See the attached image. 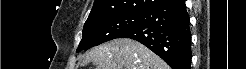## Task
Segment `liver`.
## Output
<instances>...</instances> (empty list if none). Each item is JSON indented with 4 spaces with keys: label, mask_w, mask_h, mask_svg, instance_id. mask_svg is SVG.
Listing matches in <instances>:
<instances>
[{
    "label": "liver",
    "mask_w": 246,
    "mask_h": 69,
    "mask_svg": "<svg viewBox=\"0 0 246 69\" xmlns=\"http://www.w3.org/2000/svg\"><path fill=\"white\" fill-rule=\"evenodd\" d=\"M92 62L96 69H168L155 53L137 41L115 39L91 49L84 63Z\"/></svg>",
    "instance_id": "1"
}]
</instances>
